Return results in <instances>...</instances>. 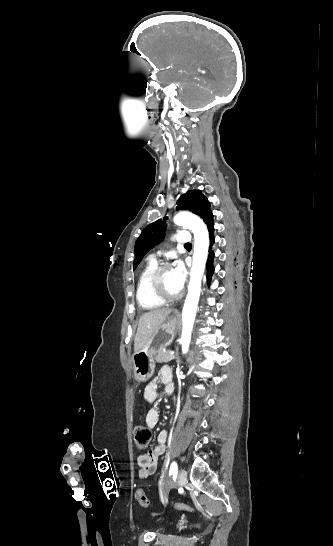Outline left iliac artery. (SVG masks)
Returning a JSON list of instances; mask_svg holds the SVG:
<instances>
[{
	"label": "left iliac artery",
	"mask_w": 333,
	"mask_h": 546,
	"mask_svg": "<svg viewBox=\"0 0 333 546\" xmlns=\"http://www.w3.org/2000/svg\"><path fill=\"white\" fill-rule=\"evenodd\" d=\"M177 473V463L172 462L169 470V475Z\"/></svg>",
	"instance_id": "obj_1"
}]
</instances>
